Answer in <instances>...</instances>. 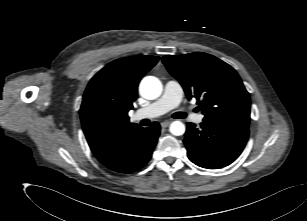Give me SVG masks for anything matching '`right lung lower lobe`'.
<instances>
[{"label": "right lung lower lobe", "instance_id": "98d812e1", "mask_svg": "<svg viewBox=\"0 0 307 221\" xmlns=\"http://www.w3.org/2000/svg\"><path fill=\"white\" fill-rule=\"evenodd\" d=\"M159 134L160 125L157 122L146 129L138 126L96 158L114 172L133 173L148 163Z\"/></svg>", "mask_w": 307, "mask_h": 221}]
</instances>
